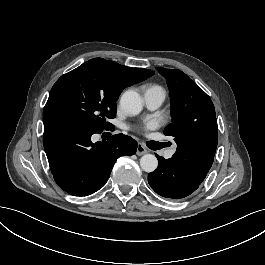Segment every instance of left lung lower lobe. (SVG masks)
<instances>
[{"mask_svg": "<svg viewBox=\"0 0 265 265\" xmlns=\"http://www.w3.org/2000/svg\"><path fill=\"white\" fill-rule=\"evenodd\" d=\"M157 158L159 166L156 171L149 173L148 183L162 197L185 198L197 190L204 180L178 160H165L158 155Z\"/></svg>", "mask_w": 265, "mask_h": 265, "instance_id": "0a47b994", "label": "left lung lower lobe"}]
</instances>
